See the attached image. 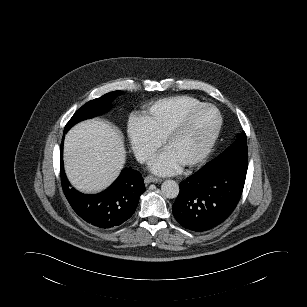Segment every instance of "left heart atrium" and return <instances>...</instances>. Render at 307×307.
<instances>
[{
  "label": "left heart atrium",
  "instance_id": "left-heart-atrium-1",
  "mask_svg": "<svg viewBox=\"0 0 307 307\" xmlns=\"http://www.w3.org/2000/svg\"><path fill=\"white\" fill-rule=\"evenodd\" d=\"M182 164L169 151L164 150L151 163L153 172L160 175H171L178 172Z\"/></svg>",
  "mask_w": 307,
  "mask_h": 307
}]
</instances>
